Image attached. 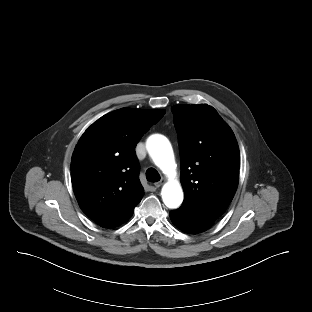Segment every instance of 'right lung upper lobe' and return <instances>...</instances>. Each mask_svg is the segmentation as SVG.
Masks as SVG:
<instances>
[{
    "instance_id": "1",
    "label": "right lung upper lobe",
    "mask_w": 312,
    "mask_h": 312,
    "mask_svg": "<svg viewBox=\"0 0 312 312\" xmlns=\"http://www.w3.org/2000/svg\"><path fill=\"white\" fill-rule=\"evenodd\" d=\"M165 110L122 108L93 123L73 152L71 180L81 210L114 228L132 216L144 189L134 148Z\"/></svg>"
}]
</instances>
